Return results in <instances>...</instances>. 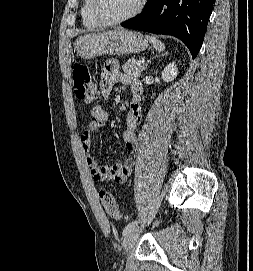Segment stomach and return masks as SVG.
Here are the masks:
<instances>
[{
    "instance_id": "obj_1",
    "label": "stomach",
    "mask_w": 253,
    "mask_h": 271,
    "mask_svg": "<svg viewBox=\"0 0 253 271\" xmlns=\"http://www.w3.org/2000/svg\"><path fill=\"white\" fill-rule=\"evenodd\" d=\"M147 47L148 41L141 33L121 28L89 34L79 38L75 43V51L83 59L138 53Z\"/></svg>"
}]
</instances>
